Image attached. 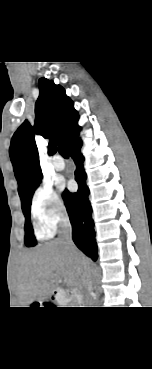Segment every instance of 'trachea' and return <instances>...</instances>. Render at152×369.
Segmentation results:
<instances>
[{"instance_id":"1","label":"trachea","mask_w":152,"mask_h":369,"mask_svg":"<svg viewBox=\"0 0 152 369\" xmlns=\"http://www.w3.org/2000/svg\"><path fill=\"white\" fill-rule=\"evenodd\" d=\"M59 153L61 154V156H63L64 158H69V155H68V152H67V149L65 147V145L61 144L59 146Z\"/></svg>"}]
</instances>
